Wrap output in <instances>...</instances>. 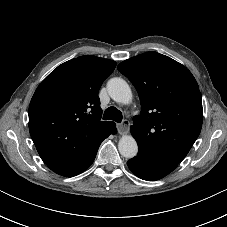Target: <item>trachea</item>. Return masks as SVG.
Here are the masks:
<instances>
[{
    "instance_id": "obj_1",
    "label": "trachea",
    "mask_w": 227,
    "mask_h": 227,
    "mask_svg": "<svg viewBox=\"0 0 227 227\" xmlns=\"http://www.w3.org/2000/svg\"><path fill=\"white\" fill-rule=\"evenodd\" d=\"M122 118H123L122 112L113 106L107 108L103 115V119L113 120L118 123L122 121Z\"/></svg>"
}]
</instances>
